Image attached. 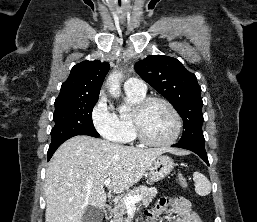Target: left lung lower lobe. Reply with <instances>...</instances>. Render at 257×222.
<instances>
[{"instance_id": "0a47b994", "label": "left lung lower lobe", "mask_w": 257, "mask_h": 222, "mask_svg": "<svg viewBox=\"0 0 257 222\" xmlns=\"http://www.w3.org/2000/svg\"><path fill=\"white\" fill-rule=\"evenodd\" d=\"M172 147H179V148L193 151L194 153L199 155L206 162L207 165H209L207 153L205 150V144H200V143L180 144V143H177V144L172 145Z\"/></svg>"}]
</instances>
